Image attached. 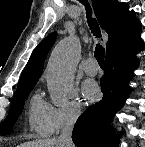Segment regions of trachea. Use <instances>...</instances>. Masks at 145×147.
I'll return each instance as SVG.
<instances>
[{
    "label": "trachea",
    "mask_w": 145,
    "mask_h": 147,
    "mask_svg": "<svg viewBox=\"0 0 145 147\" xmlns=\"http://www.w3.org/2000/svg\"><path fill=\"white\" fill-rule=\"evenodd\" d=\"M81 2L86 7L87 22H88V25H89L93 35L96 36L97 38H100L101 37L100 28H99L96 20L91 17L92 10L89 6V3L86 0L81 1ZM94 56H95L96 60L98 61L99 65L105 64L104 63L105 49L100 44L96 45Z\"/></svg>",
    "instance_id": "3493384b"
}]
</instances>
